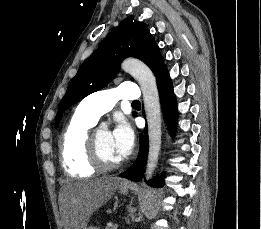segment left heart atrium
Segmentation results:
<instances>
[{
  "label": "left heart atrium",
  "mask_w": 261,
  "mask_h": 229,
  "mask_svg": "<svg viewBox=\"0 0 261 229\" xmlns=\"http://www.w3.org/2000/svg\"><path fill=\"white\" fill-rule=\"evenodd\" d=\"M116 154L120 159L126 158L132 151L135 143L134 130L128 122H120L111 133Z\"/></svg>",
  "instance_id": "39dd6f15"
}]
</instances>
